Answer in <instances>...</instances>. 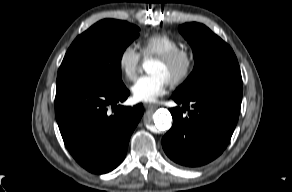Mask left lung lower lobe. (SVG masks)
<instances>
[{"label":"left lung lower lobe","mask_w":292,"mask_h":192,"mask_svg":"<svg viewBox=\"0 0 292 192\" xmlns=\"http://www.w3.org/2000/svg\"><path fill=\"white\" fill-rule=\"evenodd\" d=\"M172 99L183 106L169 109L173 125L162 139L167 156L187 167L202 166L217 158L237 124L242 92L215 90L187 97L173 94Z\"/></svg>","instance_id":"0a47b994"}]
</instances>
